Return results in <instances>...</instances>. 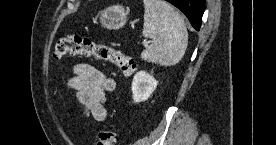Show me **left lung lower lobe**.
Listing matches in <instances>:
<instances>
[{"instance_id":"obj_1","label":"left lung lower lobe","mask_w":276,"mask_h":145,"mask_svg":"<svg viewBox=\"0 0 276 145\" xmlns=\"http://www.w3.org/2000/svg\"><path fill=\"white\" fill-rule=\"evenodd\" d=\"M179 8L189 19L195 30L199 31L204 13L205 0H167Z\"/></svg>"}]
</instances>
